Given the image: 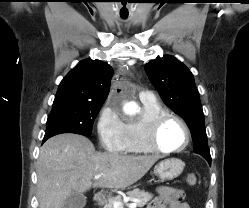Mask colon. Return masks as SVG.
I'll list each match as a JSON object with an SVG mask.
<instances>
[{"label": "colon", "mask_w": 249, "mask_h": 208, "mask_svg": "<svg viewBox=\"0 0 249 208\" xmlns=\"http://www.w3.org/2000/svg\"><path fill=\"white\" fill-rule=\"evenodd\" d=\"M196 181H197V178L194 174H189L187 177H186V182L193 186L196 184Z\"/></svg>", "instance_id": "5ec220e1"}]
</instances>
